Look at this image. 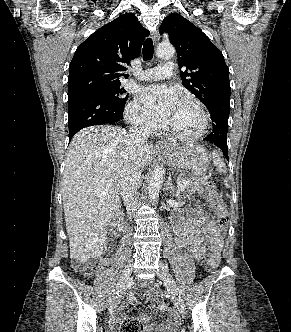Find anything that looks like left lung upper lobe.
Wrapping results in <instances>:
<instances>
[{"label": "left lung upper lobe", "instance_id": "5c2ea615", "mask_svg": "<svg viewBox=\"0 0 291 332\" xmlns=\"http://www.w3.org/2000/svg\"><path fill=\"white\" fill-rule=\"evenodd\" d=\"M175 46L182 84L207 108L217 100H230L229 69L222 52L194 24L177 13L167 16L159 29Z\"/></svg>", "mask_w": 291, "mask_h": 332}]
</instances>
